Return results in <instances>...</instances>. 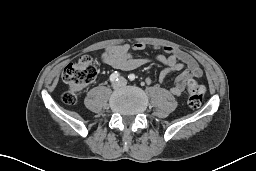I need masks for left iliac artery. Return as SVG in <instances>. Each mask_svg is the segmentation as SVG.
<instances>
[{
  "label": "left iliac artery",
  "mask_w": 256,
  "mask_h": 171,
  "mask_svg": "<svg viewBox=\"0 0 256 171\" xmlns=\"http://www.w3.org/2000/svg\"><path fill=\"white\" fill-rule=\"evenodd\" d=\"M128 78L130 81H134L135 80V75L134 74H129Z\"/></svg>",
  "instance_id": "1"
}]
</instances>
